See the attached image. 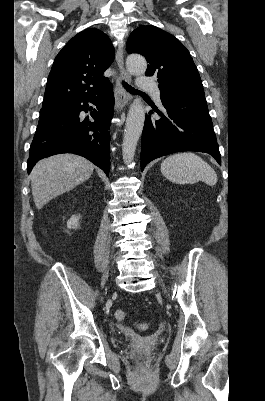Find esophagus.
<instances>
[{
	"label": "esophagus",
	"instance_id": "obj_1",
	"mask_svg": "<svg viewBox=\"0 0 265 401\" xmlns=\"http://www.w3.org/2000/svg\"><path fill=\"white\" fill-rule=\"evenodd\" d=\"M123 45L120 43L116 52V62L120 72V82L117 83L115 93V106L117 111L122 110L131 101L132 96L123 87L122 82L131 83V75L124 68Z\"/></svg>",
	"mask_w": 265,
	"mask_h": 401
}]
</instances>
